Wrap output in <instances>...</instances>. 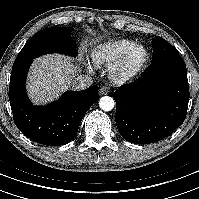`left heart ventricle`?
I'll return each mask as SVG.
<instances>
[{
    "mask_svg": "<svg viewBox=\"0 0 199 199\" xmlns=\"http://www.w3.org/2000/svg\"><path fill=\"white\" fill-rule=\"evenodd\" d=\"M142 57H143V51L141 49H136L135 51H133L127 59L126 70L127 71L134 70L141 62Z\"/></svg>",
    "mask_w": 199,
    "mask_h": 199,
    "instance_id": "1",
    "label": "left heart ventricle"
}]
</instances>
